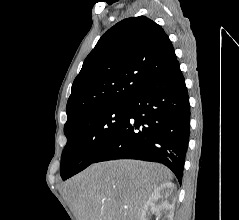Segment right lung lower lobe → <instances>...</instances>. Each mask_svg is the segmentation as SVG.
<instances>
[{
  "mask_svg": "<svg viewBox=\"0 0 239 220\" xmlns=\"http://www.w3.org/2000/svg\"><path fill=\"white\" fill-rule=\"evenodd\" d=\"M127 117L93 163L114 159L159 162L182 181L190 106L178 61L127 102Z\"/></svg>",
  "mask_w": 239,
  "mask_h": 220,
  "instance_id": "right-lung-lower-lobe-1",
  "label": "right lung lower lobe"
}]
</instances>
